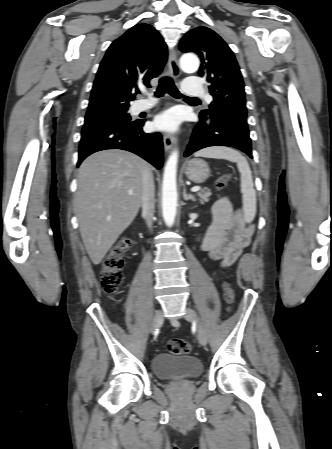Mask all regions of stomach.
Listing matches in <instances>:
<instances>
[{
    "mask_svg": "<svg viewBox=\"0 0 332 449\" xmlns=\"http://www.w3.org/2000/svg\"><path fill=\"white\" fill-rule=\"evenodd\" d=\"M186 177L197 184L203 183L210 177L208 164L202 159H191L184 165Z\"/></svg>",
    "mask_w": 332,
    "mask_h": 449,
    "instance_id": "stomach-1",
    "label": "stomach"
}]
</instances>
